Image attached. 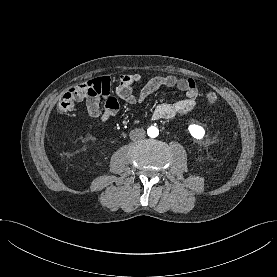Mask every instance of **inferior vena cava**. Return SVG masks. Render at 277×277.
Instances as JSON below:
<instances>
[{"label": "inferior vena cava", "instance_id": "1", "mask_svg": "<svg viewBox=\"0 0 277 277\" xmlns=\"http://www.w3.org/2000/svg\"><path fill=\"white\" fill-rule=\"evenodd\" d=\"M130 139L133 141L143 139L145 135V131L143 129H134L129 134Z\"/></svg>", "mask_w": 277, "mask_h": 277}]
</instances>
